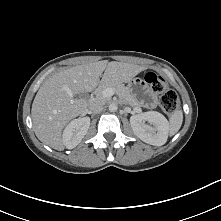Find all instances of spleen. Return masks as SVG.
<instances>
[{
	"mask_svg": "<svg viewBox=\"0 0 221 221\" xmlns=\"http://www.w3.org/2000/svg\"><path fill=\"white\" fill-rule=\"evenodd\" d=\"M183 122V113L181 110H175L169 118V135L176 134Z\"/></svg>",
	"mask_w": 221,
	"mask_h": 221,
	"instance_id": "spleen-1",
	"label": "spleen"
}]
</instances>
